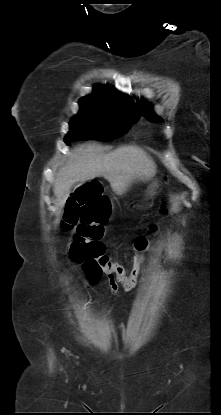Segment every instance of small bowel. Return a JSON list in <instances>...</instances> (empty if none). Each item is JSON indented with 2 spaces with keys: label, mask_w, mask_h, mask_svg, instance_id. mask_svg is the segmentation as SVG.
Segmentation results:
<instances>
[{
  "label": "small bowel",
  "mask_w": 221,
  "mask_h": 415,
  "mask_svg": "<svg viewBox=\"0 0 221 415\" xmlns=\"http://www.w3.org/2000/svg\"><path fill=\"white\" fill-rule=\"evenodd\" d=\"M109 287H110V291L114 294L117 293L118 290H119V284H117V283H109Z\"/></svg>",
  "instance_id": "1"
}]
</instances>
